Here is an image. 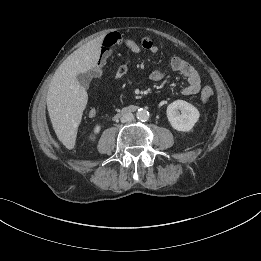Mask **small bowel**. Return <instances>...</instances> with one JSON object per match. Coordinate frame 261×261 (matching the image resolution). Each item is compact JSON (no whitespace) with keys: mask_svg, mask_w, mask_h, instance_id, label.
Masks as SVG:
<instances>
[{"mask_svg":"<svg viewBox=\"0 0 261 261\" xmlns=\"http://www.w3.org/2000/svg\"><path fill=\"white\" fill-rule=\"evenodd\" d=\"M118 46H123L125 59L116 70V80L122 79L127 74L131 55L140 54L143 51L156 54L159 50L156 43L149 36H143L139 42H136L134 40L124 38L116 32L110 33L102 40L101 58L98 65L93 70L95 77L101 75L102 67L105 61L111 56L114 49ZM169 68L173 72L179 73L186 79L187 84L182 91L184 95L191 96L199 93L201 89L200 76L191 64L178 56H173L169 61ZM164 76L165 72L163 70L155 69L151 72L150 79L153 81H160L164 78ZM95 115L96 111L91 109L89 111V116L94 117Z\"/></svg>","mask_w":261,"mask_h":261,"instance_id":"small-bowel-1","label":"small bowel"}]
</instances>
